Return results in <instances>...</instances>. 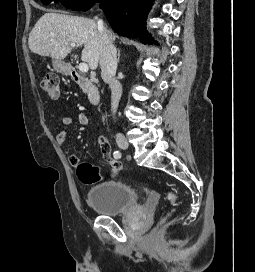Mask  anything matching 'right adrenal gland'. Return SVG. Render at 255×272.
Wrapping results in <instances>:
<instances>
[{"mask_svg":"<svg viewBox=\"0 0 255 272\" xmlns=\"http://www.w3.org/2000/svg\"><path fill=\"white\" fill-rule=\"evenodd\" d=\"M120 60V50L118 49V61Z\"/></svg>","mask_w":255,"mask_h":272,"instance_id":"obj_1","label":"right adrenal gland"}]
</instances>
